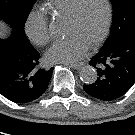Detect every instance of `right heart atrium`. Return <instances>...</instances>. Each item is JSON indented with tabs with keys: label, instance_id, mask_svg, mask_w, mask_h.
<instances>
[{
	"label": "right heart atrium",
	"instance_id": "1",
	"mask_svg": "<svg viewBox=\"0 0 135 135\" xmlns=\"http://www.w3.org/2000/svg\"><path fill=\"white\" fill-rule=\"evenodd\" d=\"M24 29L29 40L36 45H44L51 38L49 20L43 12H30L25 20Z\"/></svg>",
	"mask_w": 135,
	"mask_h": 135
}]
</instances>
